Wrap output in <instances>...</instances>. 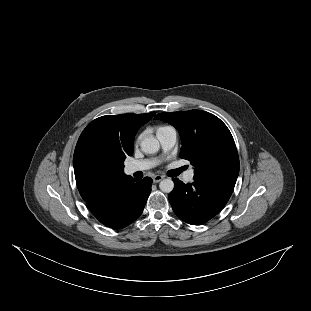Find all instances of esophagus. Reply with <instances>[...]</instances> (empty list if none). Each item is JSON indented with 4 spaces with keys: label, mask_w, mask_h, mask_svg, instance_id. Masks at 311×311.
Returning a JSON list of instances; mask_svg holds the SVG:
<instances>
[{
    "label": "esophagus",
    "mask_w": 311,
    "mask_h": 311,
    "mask_svg": "<svg viewBox=\"0 0 311 311\" xmlns=\"http://www.w3.org/2000/svg\"><path fill=\"white\" fill-rule=\"evenodd\" d=\"M163 178H164V176H162V175H155V176L153 177V182H154V183H158V182H160Z\"/></svg>",
    "instance_id": "1"
}]
</instances>
